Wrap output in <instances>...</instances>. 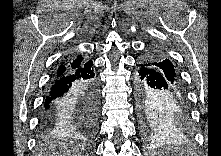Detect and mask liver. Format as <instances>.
Here are the masks:
<instances>
[{
  "label": "liver",
  "mask_w": 221,
  "mask_h": 156,
  "mask_svg": "<svg viewBox=\"0 0 221 156\" xmlns=\"http://www.w3.org/2000/svg\"><path fill=\"white\" fill-rule=\"evenodd\" d=\"M40 151H46L44 154H54L55 156H82L83 148L74 141H58Z\"/></svg>",
  "instance_id": "obj_1"
}]
</instances>
